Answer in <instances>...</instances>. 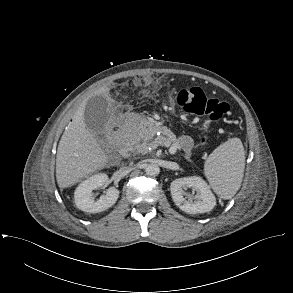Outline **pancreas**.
<instances>
[{
  "label": "pancreas",
  "mask_w": 293,
  "mask_h": 293,
  "mask_svg": "<svg viewBox=\"0 0 293 293\" xmlns=\"http://www.w3.org/2000/svg\"><path fill=\"white\" fill-rule=\"evenodd\" d=\"M157 131L158 129L153 127L142 128L134 141V143H136V149L139 152L147 153L163 144L166 141L165 137L160 136V139L152 140ZM148 140H150V142H147ZM176 142L178 143V146L185 151L186 155H191V148L184 147L180 139H176Z\"/></svg>",
  "instance_id": "obj_1"
}]
</instances>
